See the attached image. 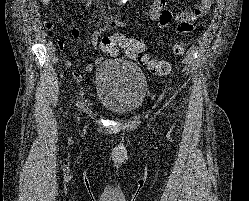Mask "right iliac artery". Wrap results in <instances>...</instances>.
I'll return each instance as SVG.
<instances>
[{
    "label": "right iliac artery",
    "instance_id": "1",
    "mask_svg": "<svg viewBox=\"0 0 249 201\" xmlns=\"http://www.w3.org/2000/svg\"><path fill=\"white\" fill-rule=\"evenodd\" d=\"M126 2V0H120L119 1V3H125Z\"/></svg>",
    "mask_w": 249,
    "mask_h": 201
}]
</instances>
